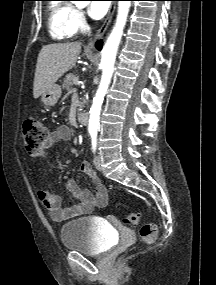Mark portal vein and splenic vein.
I'll return each mask as SVG.
<instances>
[{
    "mask_svg": "<svg viewBox=\"0 0 216 285\" xmlns=\"http://www.w3.org/2000/svg\"><path fill=\"white\" fill-rule=\"evenodd\" d=\"M73 82H74V84H77L79 82L78 78H74Z\"/></svg>",
    "mask_w": 216,
    "mask_h": 285,
    "instance_id": "obj_1",
    "label": "portal vein and splenic vein"
}]
</instances>
